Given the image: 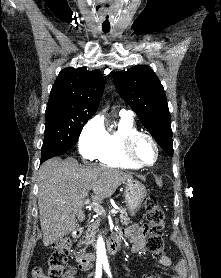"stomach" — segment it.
I'll return each instance as SVG.
<instances>
[{"mask_svg":"<svg viewBox=\"0 0 221 278\" xmlns=\"http://www.w3.org/2000/svg\"><path fill=\"white\" fill-rule=\"evenodd\" d=\"M146 195V188L139 181L131 179L126 182L125 202L131 215H134L139 210Z\"/></svg>","mask_w":221,"mask_h":278,"instance_id":"1","label":"stomach"}]
</instances>
